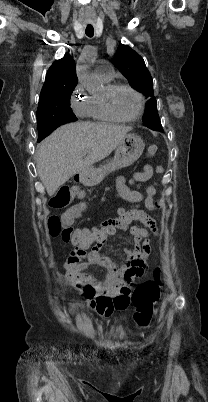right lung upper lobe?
<instances>
[{
    "instance_id": "cb5924a9",
    "label": "right lung upper lobe",
    "mask_w": 208,
    "mask_h": 402,
    "mask_svg": "<svg viewBox=\"0 0 208 402\" xmlns=\"http://www.w3.org/2000/svg\"><path fill=\"white\" fill-rule=\"evenodd\" d=\"M77 82L75 62L66 53L63 58L53 62L48 69L40 97L50 91L76 86Z\"/></svg>"
}]
</instances>
